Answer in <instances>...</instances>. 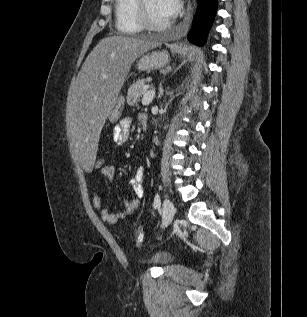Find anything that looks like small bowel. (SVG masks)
Wrapping results in <instances>:
<instances>
[{
	"label": "small bowel",
	"mask_w": 307,
	"mask_h": 317,
	"mask_svg": "<svg viewBox=\"0 0 307 317\" xmlns=\"http://www.w3.org/2000/svg\"><path fill=\"white\" fill-rule=\"evenodd\" d=\"M142 115H140L141 117ZM130 127L131 120L130 118H123L113 129V140L117 146L125 145L130 137ZM115 167L113 165H105L101 169V174L108 180H113L115 177ZM145 178V169L139 167L133 178L130 180V186L134 193V198L125 199L123 201V213H113L103 206L102 199L96 189L93 190V199L92 203L94 208L99 212L100 217L103 221L109 224H116L126 216L132 214L140 204V199L144 195L143 182Z\"/></svg>",
	"instance_id": "c3829d8e"
}]
</instances>
